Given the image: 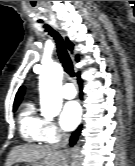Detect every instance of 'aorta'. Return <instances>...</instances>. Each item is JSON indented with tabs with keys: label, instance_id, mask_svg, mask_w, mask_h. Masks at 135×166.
I'll return each mask as SVG.
<instances>
[{
	"label": "aorta",
	"instance_id": "obj_1",
	"mask_svg": "<svg viewBox=\"0 0 135 166\" xmlns=\"http://www.w3.org/2000/svg\"><path fill=\"white\" fill-rule=\"evenodd\" d=\"M62 76L63 69L58 63L45 66L40 74V106L41 114L45 118L55 117L61 110Z\"/></svg>",
	"mask_w": 135,
	"mask_h": 166
}]
</instances>
